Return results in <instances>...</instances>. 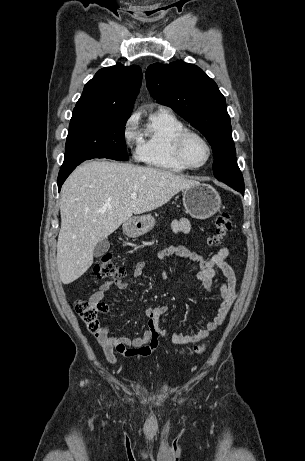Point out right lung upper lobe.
<instances>
[{"mask_svg": "<svg viewBox=\"0 0 305 461\" xmlns=\"http://www.w3.org/2000/svg\"><path fill=\"white\" fill-rule=\"evenodd\" d=\"M141 81V68L135 65L100 69L85 85L73 111L130 117Z\"/></svg>", "mask_w": 305, "mask_h": 461, "instance_id": "1", "label": "right lung upper lobe"}]
</instances>
